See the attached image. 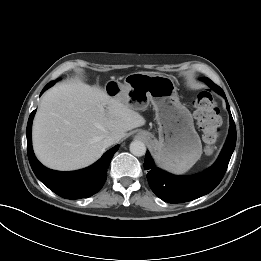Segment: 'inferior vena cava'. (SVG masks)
<instances>
[{
  "instance_id": "obj_1",
  "label": "inferior vena cava",
  "mask_w": 261,
  "mask_h": 261,
  "mask_svg": "<svg viewBox=\"0 0 261 261\" xmlns=\"http://www.w3.org/2000/svg\"><path fill=\"white\" fill-rule=\"evenodd\" d=\"M116 143V139H115V137H113V136H107L104 140H103V144H104V147H109V146H111V145H113V144H115Z\"/></svg>"
}]
</instances>
